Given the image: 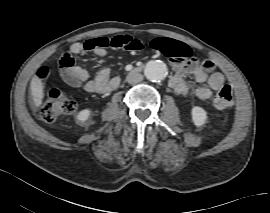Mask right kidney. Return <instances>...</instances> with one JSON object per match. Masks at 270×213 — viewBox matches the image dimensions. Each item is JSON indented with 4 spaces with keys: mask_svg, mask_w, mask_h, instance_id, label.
Returning a JSON list of instances; mask_svg holds the SVG:
<instances>
[{
    "mask_svg": "<svg viewBox=\"0 0 270 213\" xmlns=\"http://www.w3.org/2000/svg\"><path fill=\"white\" fill-rule=\"evenodd\" d=\"M90 115V110L89 109H84L80 111L77 115V120L80 122H85Z\"/></svg>",
    "mask_w": 270,
    "mask_h": 213,
    "instance_id": "1",
    "label": "right kidney"
}]
</instances>
